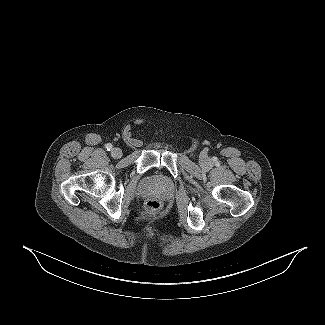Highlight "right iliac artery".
<instances>
[{"mask_svg": "<svg viewBox=\"0 0 325 325\" xmlns=\"http://www.w3.org/2000/svg\"><path fill=\"white\" fill-rule=\"evenodd\" d=\"M105 148L107 151H110V150H112V145L110 143H108L105 145Z\"/></svg>", "mask_w": 325, "mask_h": 325, "instance_id": "1", "label": "right iliac artery"}]
</instances>
